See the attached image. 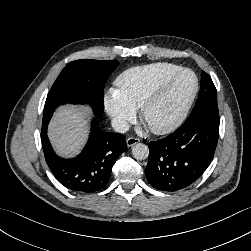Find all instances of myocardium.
Returning a JSON list of instances; mask_svg holds the SVG:
<instances>
[{
  "mask_svg": "<svg viewBox=\"0 0 251 251\" xmlns=\"http://www.w3.org/2000/svg\"><path fill=\"white\" fill-rule=\"evenodd\" d=\"M182 74H190L194 78V85L190 95L188 96L186 102L184 103L181 111L178 115L168 124L160 127H148V129L157 135H164L173 132L176 130L186 119L188 116L190 109L194 103V100L197 96L199 89V80L194 71L188 68H181L180 70L170 74L165 77L161 82H159L147 95L140 106L139 116L142 122L145 123L144 119L148 109L153 106L165 93L168 87Z\"/></svg>",
  "mask_w": 251,
  "mask_h": 251,
  "instance_id": "f54148a6",
  "label": "myocardium"
}]
</instances>
